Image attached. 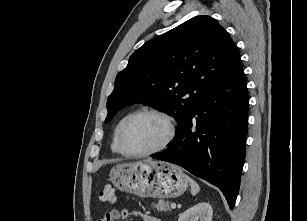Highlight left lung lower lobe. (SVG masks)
I'll return each instance as SVG.
<instances>
[{
	"label": "left lung lower lobe",
	"instance_id": "left-lung-lower-lobe-1",
	"mask_svg": "<svg viewBox=\"0 0 307 221\" xmlns=\"http://www.w3.org/2000/svg\"><path fill=\"white\" fill-rule=\"evenodd\" d=\"M248 103L239 57L226 78L194 107L170 146L153 158L217 186L233 209L245 158Z\"/></svg>",
	"mask_w": 307,
	"mask_h": 221
}]
</instances>
